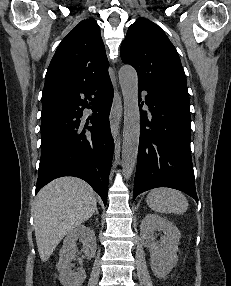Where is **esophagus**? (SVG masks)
Segmentation results:
<instances>
[{
    "label": "esophagus",
    "mask_w": 231,
    "mask_h": 286,
    "mask_svg": "<svg viewBox=\"0 0 231 286\" xmlns=\"http://www.w3.org/2000/svg\"><path fill=\"white\" fill-rule=\"evenodd\" d=\"M122 117V99L118 91L115 92L113 104L110 112V127L114 140L117 139Z\"/></svg>",
    "instance_id": "obj_1"
}]
</instances>
